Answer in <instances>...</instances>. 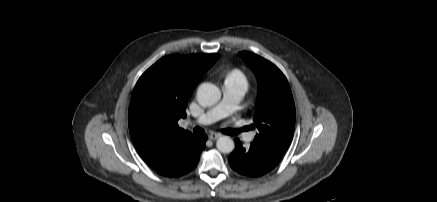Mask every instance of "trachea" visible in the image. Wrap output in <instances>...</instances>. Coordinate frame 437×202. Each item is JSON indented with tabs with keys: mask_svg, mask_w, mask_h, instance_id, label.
I'll list each match as a JSON object with an SVG mask.
<instances>
[{
	"mask_svg": "<svg viewBox=\"0 0 437 202\" xmlns=\"http://www.w3.org/2000/svg\"><path fill=\"white\" fill-rule=\"evenodd\" d=\"M242 130H246V128H243ZM241 130H234V129H223L222 132L227 134V135H236L240 132ZM194 134L196 135H200L203 134L205 132L204 129H202L201 127H195L193 129Z\"/></svg>",
	"mask_w": 437,
	"mask_h": 202,
	"instance_id": "obj_1",
	"label": "trachea"
}]
</instances>
